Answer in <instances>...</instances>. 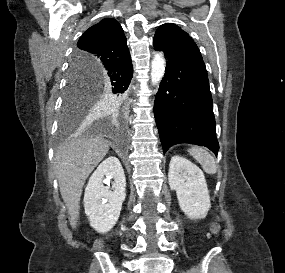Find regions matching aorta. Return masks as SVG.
<instances>
[{
    "mask_svg": "<svg viewBox=\"0 0 285 273\" xmlns=\"http://www.w3.org/2000/svg\"><path fill=\"white\" fill-rule=\"evenodd\" d=\"M166 62L162 53H156L151 61V83L158 84L164 76Z\"/></svg>",
    "mask_w": 285,
    "mask_h": 273,
    "instance_id": "obj_1",
    "label": "aorta"
}]
</instances>
